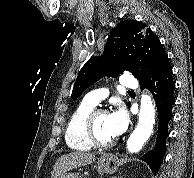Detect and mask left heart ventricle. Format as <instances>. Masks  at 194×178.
<instances>
[{
	"label": "left heart ventricle",
	"instance_id": "1",
	"mask_svg": "<svg viewBox=\"0 0 194 178\" xmlns=\"http://www.w3.org/2000/svg\"><path fill=\"white\" fill-rule=\"evenodd\" d=\"M95 130L99 139L106 141L114 138L108 125V114H101L96 118Z\"/></svg>",
	"mask_w": 194,
	"mask_h": 178
}]
</instances>
